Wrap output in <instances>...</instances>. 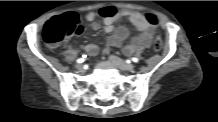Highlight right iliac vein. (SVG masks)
<instances>
[{"label":"right iliac vein","instance_id":"63e3f726","mask_svg":"<svg viewBox=\"0 0 218 122\" xmlns=\"http://www.w3.org/2000/svg\"><path fill=\"white\" fill-rule=\"evenodd\" d=\"M76 69L81 71L83 69V65L82 64H76Z\"/></svg>","mask_w":218,"mask_h":122}]
</instances>
